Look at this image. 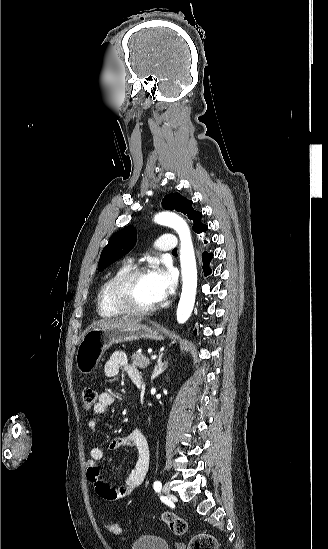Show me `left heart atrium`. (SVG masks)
Here are the masks:
<instances>
[{"instance_id": "1", "label": "left heart atrium", "mask_w": 328, "mask_h": 549, "mask_svg": "<svg viewBox=\"0 0 328 549\" xmlns=\"http://www.w3.org/2000/svg\"><path fill=\"white\" fill-rule=\"evenodd\" d=\"M151 279L158 300H163L174 292L176 274L171 266L165 265L154 269L151 272Z\"/></svg>"}]
</instances>
